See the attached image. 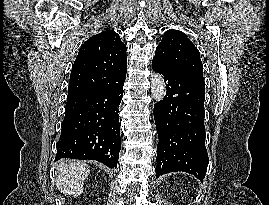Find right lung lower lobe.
Instances as JSON below:
<instances>
[{"label":"right lung lower lobe","mask_w":269,"mask_h":205,"mask_svg":"<svg viewBox=\"0 0 269 205\" xmlns=\"http://www.w3.org/2000/svg\"><path fill=\"white\" fill-rule=\"evenodd\" d=\"M126 74L114 86L68 94L55 160H96L116 168L121 149L119 105Z\"/></svg>","instance_id":"right-lung-lower-lobe-1"}]
</instances>
